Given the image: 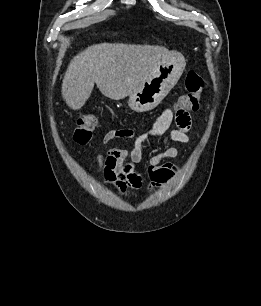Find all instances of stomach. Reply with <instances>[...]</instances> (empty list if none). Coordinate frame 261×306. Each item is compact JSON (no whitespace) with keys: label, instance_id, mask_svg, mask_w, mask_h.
Wrapping results in <instances>:
<instances>
[{"label":"stomach","instance_id":"0dacf381","mask_svg":"<svg viewBox=\"0 0 261 306\" xmlns=\"http://www.w3.org/2000/svg\"><path fill=\"white\" fill-rule=\"evenodd\" d=\"M185 65L186 60L181 53L170 52L150 70L138 89L128 95V106L135 112L155 108L178 82Z\"/></svg>","mask_w":261,"mask_h":306}]
</instances>
